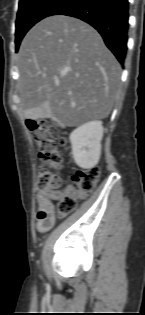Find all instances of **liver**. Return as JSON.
Instances as JSON below:
<instances>
[{
  "label": "liver",
  "instance_id": "obj_1",
  "mask_svg": "<svg viewBox=\"0 0 145 315\" xmlns=\"http://www.w3.org/2000/svg\"><path fill=\"white\" fill-rule=\"evenodd\" d=\"M17 65L26 118L75 127L110 114L121 68L87 23L65 15L43 19L23 39Z\"/></svg>",
  "mask_w": 145,
  "mask_h": 315
}]
</instances>
